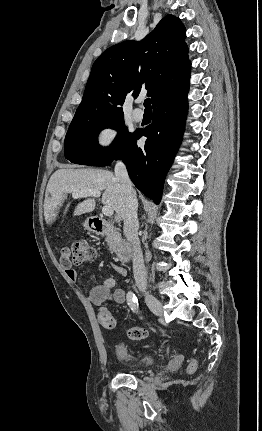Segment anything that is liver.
<instances>
[{"instance_id": "6515ba94", "label": "liver", "mask_w": 262, "mask_h": 431, "mask_svg": "<svg viewBox=\"0 0 262 431\" xmlns=\"http://www.w3.org/2000/svg\"><path fill=\"white\" fill-rule=\"evenodd\" d=\"M85 190L104 191L102 204L111 206L117 219L124 218L125 194L112 172L102 169L61 168L53 173L46 188L44 216L47 224L56 219L67 194ZM95 205V200L88 198L75 207L74 215L92 212Z\"/></svg>"}]
</instances>
